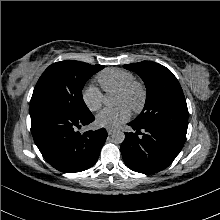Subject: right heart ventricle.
Masks as SVG:
<instances>
[{"instance_id": "obj_1", "label": "right heart ventricle", "mask_w": 220, "mask_h": 220, "mask_svg": "<svg viewBox=\"0 0 220 220\" xmlns=\"http://www.w3.org/2000/svg\"><path fill=\"white\" fill-rule=\"evenodd\" d=\"M96 80L101 88L109 93L117 92L119 89L135 80V78L128 70L121 68H107L97 75Z\"/></svg>"}]
</instances>
